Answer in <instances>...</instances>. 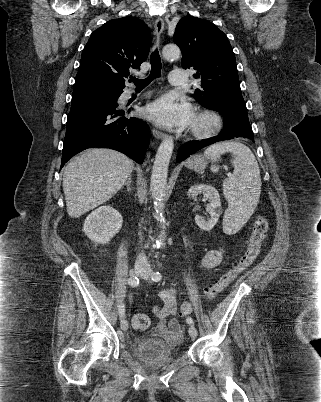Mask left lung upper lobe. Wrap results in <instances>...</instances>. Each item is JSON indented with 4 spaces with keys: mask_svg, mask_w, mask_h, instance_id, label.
Wrapping results in <instances>:
<instances>
[{
    "mask_svg": "<svg viewBox=\"0 0 321 402\" xmlns=\"http://www.w3.org/2000/svg\"><path fill=\"white\" fill-rule=\"evenodd\" d=\"M182 52L183 68L197 70L201 85L193 97L207 109L244 103L235 55L227 36L213 23L193 16L182 18L173 37Z\"/></svg>",
    "mask_w": 321,
    "mask_h": 402,
    "instance_id": "5c2ea615",
    "label": "left lung upper lobe"
}]
</instances>
